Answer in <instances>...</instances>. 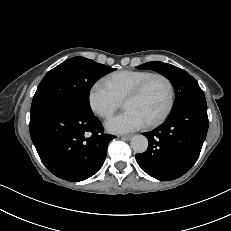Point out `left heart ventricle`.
<instances>
[{
	"instance_id": "1",
	"label": "left heart ventricle",
	"mask_w": 231,
	"mask_h": 231,
	"mask_svg": "<svg viewBox=\"0 0 231 231\" xmlns=\"http://www.w3.org/2000/svg\"><path fill=\"white\" fill-rule=\"evenodd\" d=\"M169 96L168 84L158 78L152 81L141 97L126 101L124 108L136 111L148 123L164 112L169 102Z\"/></svg>"
}]
</instances>
